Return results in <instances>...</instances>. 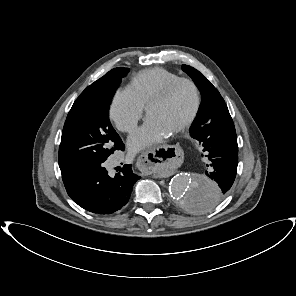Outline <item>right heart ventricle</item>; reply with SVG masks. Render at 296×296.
Masks as SVG:
<instances>
[{
    "instance_id": "e07e8e85",
    "label": "right heart ventricle",
    "mask_w": 296,
    "mask_h": 296,
    "mask_svg": "<svg viewBox=\"0 0 296 296\" xmlns=\"http://www.w3.org/2000/svg\"><path fill=\"white\" fill-rule=\"evenodd\" d=\"M181 77L167 69L154 67L140 71L128 83L127 92L143 107L151 98Z\"/></svg>"
}]
</instances>
